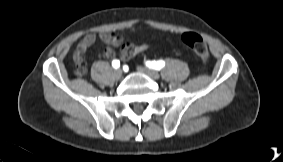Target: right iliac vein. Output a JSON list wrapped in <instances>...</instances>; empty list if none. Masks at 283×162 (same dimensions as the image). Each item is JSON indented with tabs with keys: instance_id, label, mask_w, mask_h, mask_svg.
Segmentation results:
<instances>
[{
	"instance_id": "63e3f726",
	"label": "right iliac vein",
	"mask_w": 283,
	"mask_h": 162,
	"mask_svg": "<svg viewBox=\"0 0 283 162\" xmlns=\"http://www.w3.org/2000/svg\"><path fill=\"white\" fill-rule=\"evenodd\" d=\"M121 76H122V70H121V69H115V70H114V77H115L116 79H120Z\"/></svg>"
}]
</instances>
